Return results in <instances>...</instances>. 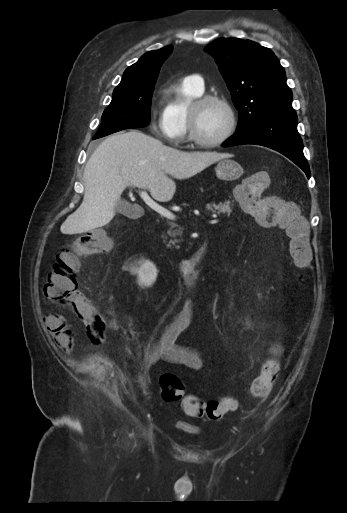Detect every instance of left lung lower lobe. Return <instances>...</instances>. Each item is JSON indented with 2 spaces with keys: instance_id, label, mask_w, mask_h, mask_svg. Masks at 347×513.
I'll list each match as a JSON object with an SVG mask.
<instances>
[{
  "instance_id": "obj_1",
  "label": "left lung lower lobe",
  "mask_w": 347,
  "mask_h": 513,
  "mask_svg": "<svg viewBox=\"0 0 347 513\" xmlns=\"http://www.w3.org/2000/svg\"><path fill=\"white\" fill-rule=\"evenodd\" d=\"M243 144L261 145L285 155L298 165L310 178L308 162L303 154V143L297 131V116H271L264 118L247 130L236 133L222 146Z\"/></svg>"
}]
</instances>
